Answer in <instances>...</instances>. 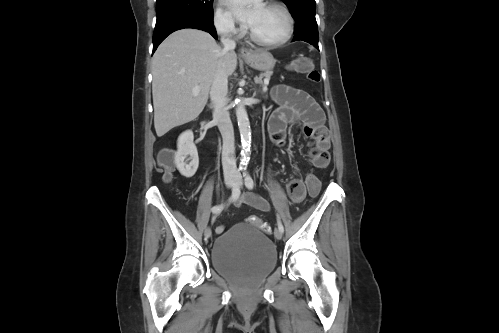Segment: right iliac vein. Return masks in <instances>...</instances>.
I'll list each match as a JSON object with an SVG mask.
<instances>
[{"label": "right iliac vein", "mask_w": 499, "mask_h": 333, "mask_svg": "<svg viewBox=\"0 0 499 333\" xmlns=\"http://www.w3.org/2000/svg\"><path fill=\"white\" fill-rule=\"evenodd\" d=\"M225 183L228 187H231L234 183V180L232 177H227L225 179ZM204 236L206 239L210 238L211 237V229L209 227H207L204 231Z\"/></svg>", "instance_id": "right-iliac-vein-1"}]
</instances>
